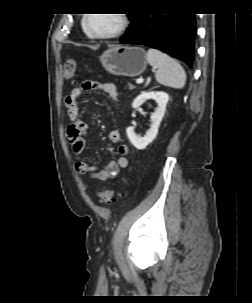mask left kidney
<instances>
[{
    "mask_svg": "<svg viewBox=\"0 0 252 303\" xmlns=\"http://www.w3.org/2000/svg\"><path fill=\"white\" fill-rule=\"evenodd\" d=\"M154 100L157 103L155 112L151 115L150 129L146 132L144 137L135 134L134 127L130 126L126 129V134L132 145L138 150L145 149L157 136L158 128L164 117L166 105L169 100V95L165 92H145L137 96L133 103L132 108H138L147 100Z\"/></svg>",
    "mask_w": 252,
    "mask_h": 303,
    "instance_id": "left-kidney-1",
    "label": "left kidney"
}]
</instances>
